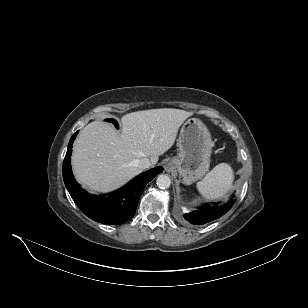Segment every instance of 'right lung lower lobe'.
I'll list each match as a JSON object with an SVG mask.
<instances>
[{"label": "right lung lower lobe", "mask_w": 308, "mask_h": 308, "mask_svg": "<svg viewBox=\"0 0 308 308\" xmlns=\"http://www.w3.org/2000/svg\"><path fill=\"white\" fill-rule=\"evenodd\" d=\"M78 131L71 137L63 163V179L73 201L81 211L92 220L102 223L119 225L133 217L144 186L158 173L161 167L144 172L130 181L123 188L107 196H95L83 191L75 181L71 170V154L73 141Z\"/></svg>", "instance_id": "obj_1"}]
</instances>
